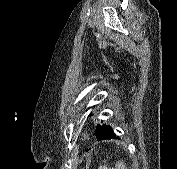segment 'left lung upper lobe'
Segmentation results:
<instances>
[{
    "mask_svg": "<svg viewBox=\"0 0 177 169\" xmlns=\"http://www.w3.org/2000/svg\"><path fill=\"white\" fill-rule=\"evenodd\" d=\"M109 128H110V126H107L106 124L98 125L97 129H96V132H95L96 138H98L99 135L107 132Z\"/></svg>",
    "mask_w": 177,
    "mask_h": 169,
    "instance_id": "obj_1",
    "label": "left lung upper lobe"
}]
</instances>
